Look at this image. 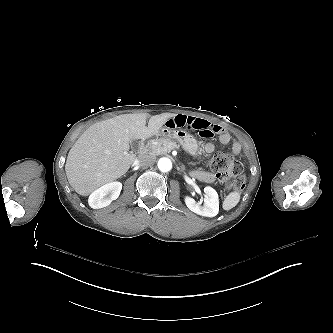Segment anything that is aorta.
Segmentation results:
<instances>
[{
	"instance_id": "1",
	"label": "aorta",
	"mask_w": 333,
	"mask_h": 333,
	"mask_svg": "<svg viewBox=\"0 0 333 333\" xmlns=\"http://www.w3.org/2000/svg\"><path fill=\"white\" fill-rule=\"evenodd\" d=\"M158 168L162 172H168L172 168V162L169 158L163 157L158 161Z\"/></svg>"
}]
</instances>
